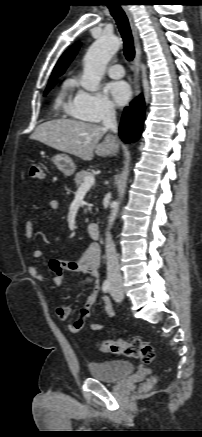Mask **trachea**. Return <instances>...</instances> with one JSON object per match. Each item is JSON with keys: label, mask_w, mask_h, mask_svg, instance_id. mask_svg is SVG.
Returning <instances> with one entry per match:
<instances>
[{"label": "trachea", "mask_w": 202, "mask_h": 437, "mask_svg": "<svg viewBox=\"0 0 202 437\" xmlns=\"http://www.w3.org/2000/svg\"><path fill=\"white\" fill-rule=\"evenodd\" d=\"M111 15L116 21L118 29L123 39V51L125 58L132 61L135 56V49L133 44V37L129 25L128 18L124 10L119 5H108Z\"/></svg>", "instance_id": "obj_1"}]
</instances>
